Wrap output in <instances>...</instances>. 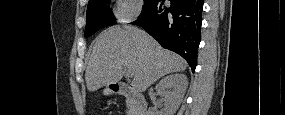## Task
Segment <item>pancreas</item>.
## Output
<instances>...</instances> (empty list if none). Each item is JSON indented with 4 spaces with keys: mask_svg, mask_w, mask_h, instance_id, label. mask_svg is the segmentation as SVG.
Segmentation results:
<instances>
[{
    "mask_svg": "<svg viewBox=\"0 0 285 115\" xmlns=\"http://www.w3.org/2000/svg\"><path fill=\"white\" fill-rule=\"evenodd\" d=\"M126 103H127V107H128V108H131L130 100H129V99H127Z\"/></svg>",
    "mask_w": 285,
    "mask_h": 115,
    "instance_id": "obj_1",
    "label": "pancreas"
}]
</instances>
